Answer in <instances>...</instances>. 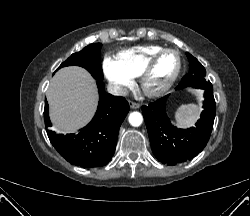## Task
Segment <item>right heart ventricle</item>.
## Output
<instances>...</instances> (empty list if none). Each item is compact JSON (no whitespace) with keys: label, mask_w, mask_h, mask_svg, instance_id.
Segmentation results:
<instances>
[{"label":"right heart ventricle","mask_w":250,"mask_h":216,"mask_svg":"<svg viewBox=\"0 0 250 216\" xmlns=\"http://www.w3.org/2000/svg\"><path fill=\"white\" fill-rule=\"evenodd\" d=\"M162 49L164 47L160 45L136 46L118 53L116 60L123 70L134 78L140 75L150 57Z\"/></svg>","instance_id":"1"}]
</instances>
